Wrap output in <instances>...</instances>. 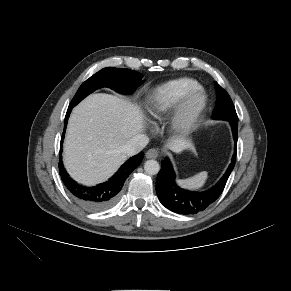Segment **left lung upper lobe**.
Wrapping results in <instances>:
<instances>
[{
  "mask_svg": "<svg viewBox=\"0 0 291 291\" xmlns=\"http://www.w3.org/2000/svg\"><path fill=\"white\" fill-rule=\"evenodd\" d=\"M215 88L217 101L212 118L218 119L221 117V115H225L230 118L238 119L235 107L228 93L217 82H215Z\"/></svg>",
  "mask_w": 291,
  "mask_h": 291,
  "instance_id": "obj_1",
  "label": "left lung upper lobe"
}]
</instances>
